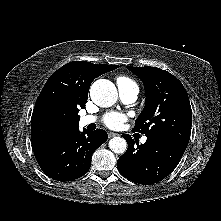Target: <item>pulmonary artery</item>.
<instances>
[{"instance_id": "pulmonary-artery-1", "label": "pulmonary artery", "mask_w": 221, "mask_h": 221, "mask_svg": "<svg viewBox=\"0 0 221 221\" xmlns=\"http://www.w3.org/2000/svg\"><path fill=\"white\" fill-rule=\"evenodd\" d=\"M117 87L119 91V96L123 102L132 103L137 99L139 90L136 85L122 80H117ZM96 121L97 117L94 115H86L80 118V124L82 126H87ZM146 140L147 138L145 136L141 138L142 143H145Z\"/></svg>"}]
</instances>
